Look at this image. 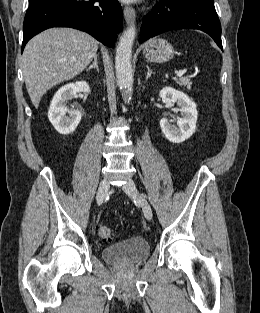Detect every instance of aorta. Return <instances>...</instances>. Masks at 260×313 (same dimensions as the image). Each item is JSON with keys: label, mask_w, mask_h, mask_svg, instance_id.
Segmentation results:
<instances>
[{"label": "aorta", "mask_w": 260, "mask_h": 313, "mask_svg": "<svg viewBox=\"0 0 260 313\" xmlns=\"http://www.w3.org/2000/svg\"><path fill=\"white\" fill-rule=\"evenodd\" d=\"M136 37L135 26H130L120 37L115 57L117 84L120 91L130 95L133 87L132 45Z\"/></svg>", "instance_id": "762f6f07"}]
</instances>
